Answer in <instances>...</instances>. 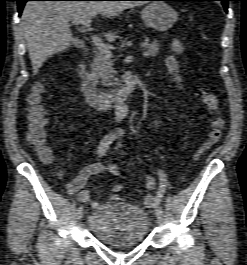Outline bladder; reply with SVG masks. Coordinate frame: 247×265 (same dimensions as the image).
Instances as JSON below:
<instances>
[{"mask_svg": "<svg viewBox=\"0 0 247 265\" xmlns=\"http://www.w3.org/2000/svg\"><path fill=\"white\" fill-rule=\"evenodd\" d=\"M88 229L102 244L123 248L142 243L149 231L148 216L140 207L105 202L89 215Z\"/></svg>", "mask_w": 247, "mask_h": 265, "instance_id": "obj_1", "label": "bladder"}]
</instances>
